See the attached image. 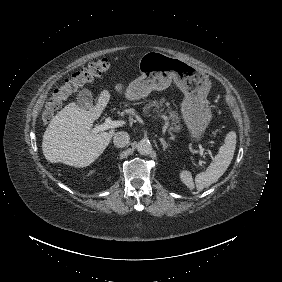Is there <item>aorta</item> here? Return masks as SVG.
<instances>
[{
  "instance_id": "762f6f07",
  "label": "aorta",
  "mask_w": 282,
  "mask_h": 282,
  "mask_svg": "<svg viewBox=\"0 0 282 282\" xmlns=\"http://www.w3.org/2000/svg\"><path fill=\"white\" fill-rule=\"evenodd\" d=\"M137 151L142 155H147L152 150V145L148 139H141L136 144Z\"/></svg>"
}]
</instances>
